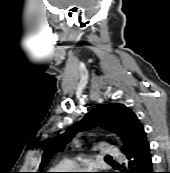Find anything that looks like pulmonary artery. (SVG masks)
<instances>
[{"instance_id":"1","label":"pulmonary artery","mask_w":170,"mask_h":173,"mask_svg":"<svg viewBox=\"0 0 170 173\" xmlns=\"http://www.w3.org/2000/svg\"><path fill=\"white\" fill-rule=\"evenodd\" d=\"M102 153L108 156H112V157H120L121 153L120 151L113 146H105L101 149Z\"/></svg>"}]
</instances>
